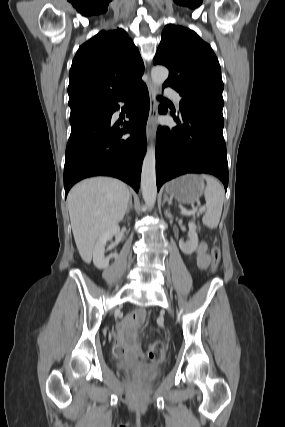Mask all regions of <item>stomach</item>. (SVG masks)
<instances>
[{"label":"stomach","instance_id":"stomach-1","mask_svg":"<svg viewBox=\"0 0 285 427\" xmlns=\"http://www.w3.org/2000/svg\"><path fill=\"white\" fill-rule=\"evenodd\" d=\"M204 187L201 177L188 174L168 182L165 191L171 198H175L183 204H192L199 200Z\"/></svg>","mask_w":285,"mask_h":427}]
</instances>
